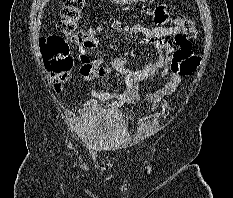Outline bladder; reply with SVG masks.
<instances>
[{"label":"bladder","instance_id":"31cf9c89","mask_svg":"<svg viewBox=\"0 0 233 198\" xmlns=\"http://www.w3.org/2000/svg\"><path fill=\"white\" fill-rule=\"evenodd\" d=\"M78 128L81 139L97 147L121 142L127 136L123 118L114 111L86 110L79 117Z\"/></svg>","mask_w":233,"mask_h":198}]
</instances>
